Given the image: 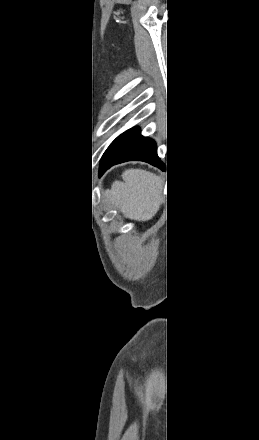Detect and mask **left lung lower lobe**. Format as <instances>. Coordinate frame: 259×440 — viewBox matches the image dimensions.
I'll use <instances>...</instances> for the list:
<instances>
[{"label": "left lung lower lobe", "mask_w": 259, "mask_h": 440, "mask_svg": "<svg viewBox=\"0 0 259 440\" xmlns=\"http://www.w3.org/2000/svg\"><path fill=\"white\" fill-rule=\"evenodd\" d=\"M140 160L164 170V164L157 156L156 144L143 137L138 127L132 128L118 136L108 147L101 158L99 172L102 173L112 165Z\"/></svg>", "instance_id": "1"}]
</instances>
